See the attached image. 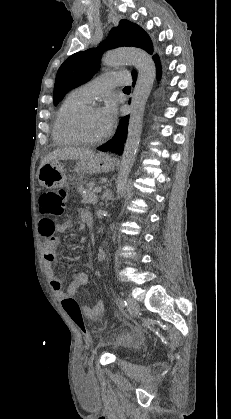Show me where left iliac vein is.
Listing matches in <instances>:
<instances>
[{
    "label": "left iliac vein",
    "instance_id": "1",
    "mask_svg": "<svg viewBox=\"0 0 231 419\" xmlns=\"http://www.w3.org/2000/svg\"><path fill=\"white\" fill-rule=\"evenodd\" d=\"M128 303H129V311L131 313L132 316H136L139 311H140V305L138 303L137 300H135L134 298L129 297L127 299Z\"/></svg>",
    "mask_w": 231,
    "mask_h": 419
}]
</instances>
